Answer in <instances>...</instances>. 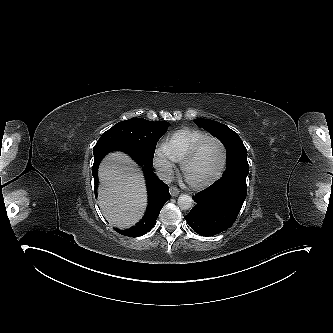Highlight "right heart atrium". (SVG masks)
<instances>
[{
  "mask_svg": "<svg viewBox=\"0 0 333 333\" xmlns=\"http://www.w3.org/2000/svg\"><path fill=\"white\" fill-rule=\"evenodd\" d=\"M154 166L161 173L163 177H168L171 175L175 160L169 154L165 145H160L154 154Z\"/></svg>",
  "mask_w": 333,
  "mask_h": 333,
  "instance_id": "right-heart-atrium-1",
  "label": "right heart atrium"
}]
</instances>
